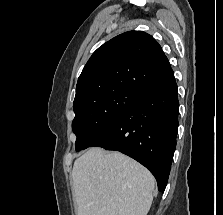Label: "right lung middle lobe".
<instances>
[{
  "label": "right lung middle lobe",
  "mask_w": 223,
  "mask_h": 215,
  "mask_svg": "<svg viewBox=\"0 0 223 215\" xmlns=\"http://www.w3.org/2000/svg\"><path fill=\"white\" fill-rule=\"evenodd\" d=\"M139 94L115 90L74 107L72 130L76 135V151L91 147L124 114Z\"/></svg>",
  "instance_id": "right-lung-middle-lobe-1"
}]
</instances>
